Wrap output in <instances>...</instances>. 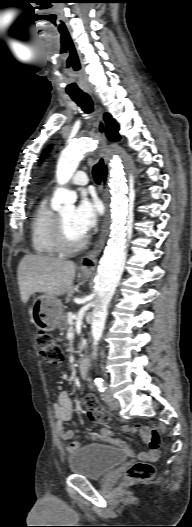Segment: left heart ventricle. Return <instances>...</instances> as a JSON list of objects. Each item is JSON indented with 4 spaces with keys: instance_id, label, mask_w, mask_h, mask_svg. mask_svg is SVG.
Wrapping results in <instances>:
<instances>
[{
    "instance_id": "obj_1",
    "label": "left heart ventricle",
    "mask_w": 192,
    "mask_h": 527,
    "mask_svg": "<svg viewBox=\"0 0 192 527\" xmlns=\"http://www.w3.org/2000/svg\"><path fill=\"white\" fill-rule=\"evenodd\" d=\"M73 208H67L59 213L62 219L66 237L69 242L76 243L80 241L85 235H83L73 223Z\"/></svg>"
}]
</instances>
